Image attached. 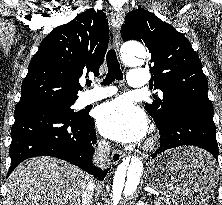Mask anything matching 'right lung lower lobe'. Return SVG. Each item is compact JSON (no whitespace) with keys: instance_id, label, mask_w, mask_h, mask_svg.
Here are the masks:
<instances>
[{"instance_id":"1","label":"right lung lower lobe","mask_w":222,"mask_h":205,"mask_svg":"<svg viewBox=\"0 0 222 205\" xmlns=\"http://www.w3.org/2000/svg\"><path fill=\"white\" fill-rule=\"evenodd\" d=\"M14 118L7 176L27 158L53 156L104 179L106 172L92 163L96 133L94 119L88 114L84 120H77L51 108L31 107L15 110Z\"/></svg>"}]
</instances>
